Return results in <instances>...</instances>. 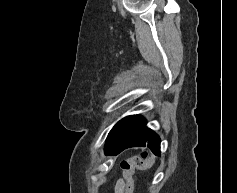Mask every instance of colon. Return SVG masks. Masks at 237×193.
Instances as JSON below:
<instances>
[{
    "label": "colon",
    "mask_w": 237,
    "mask_h": 193,
    "mask_svg": "<svg viewBox=\"0 0 237 193\" xmlns=\"http://www.w3.org/2000/svg\"><path fill=\"white\" fill-rule=\"evenodd\" d=\"M151 163L152 156L148 152H143L139 156H135L121 162L120 166L125 179V189L127 193H131L133 190L135 171L148 170Z\"/></svg>",
    "instance_id": "obj_1"
}]
</instances>
